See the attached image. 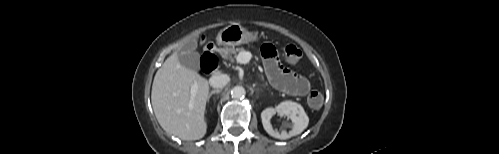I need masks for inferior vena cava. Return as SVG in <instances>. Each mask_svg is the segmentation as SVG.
Here are the masks:
<instances>
[{
    "instance_id": "inferior-vena-cava-1",
    "label": "inferior vena cava",
    "mask_w": 499,
    "mask_h": 154,
    "mask_svg": "<svg viewBox=\"0 0 499 154\" xmlns=\"http://www.w3.org/2000/svg\"><path fill=\"white\" fill-rule=\"evenodd\" d=\"M229 76L226 74L214 75L209 79V83L213 88L219 89L225 87L229 83Z\"/></svg>"
}]
</instances>
